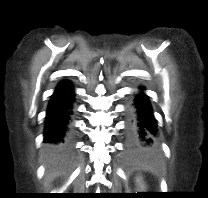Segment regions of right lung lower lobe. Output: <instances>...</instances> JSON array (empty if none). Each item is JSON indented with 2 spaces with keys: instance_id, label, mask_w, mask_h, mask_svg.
I'll list each match as a JSON object with an SVG mask.
<instances>
[{
  "instance_id": "98d812e1",
  "label": "right lung lower lobe",
  "mask_w": 208,
  "mask_h": 198,
  "mask_svg": "<svg viewBox=\"0 0 208 198\" xmlns=\"http://www.w3.org/2000/svg\"><path fill=\"white\" fill-rule=\"evenodd\" d=\"M73 101V88L65 81L57 87L48 106L44 141L50 143L49 152L58 159L66 158L70 151L67 134Z\"/></svg>"
}]
</instances>
